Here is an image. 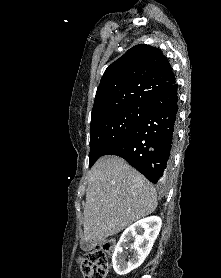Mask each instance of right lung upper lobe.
<instances>
[{
    "label": "right lung upper lobe",
    "instance_id": "obj_1",
    "mask_svg": "<svg viewBox=\"0 0 221 278\" xmlns=\"http://www.w3.org/2000/svg\"><path fill=\"white\" fill-rule=\"evenodd\" d=\"M175 83V77L162 52L146 44L129 49L112 63L98 86L91 119L152 94Z\"/></svg>",
    "mask_w": 221,
    "mask_h": 278
}]
</instances>
